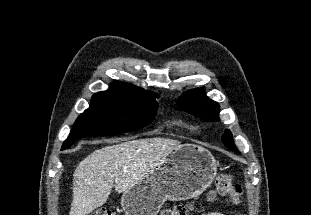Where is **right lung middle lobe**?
<instances>
[{
	"label": "right lung middle lobe",
	"mask_w": 311,
	"mask_h": 215,
	"mask_svg": "<svg viewBox=\"0 0 311 215\" xmlns=\"http://www.w3.org/2000/svg\"><path fill=\"white\" fill-rule=\"evenodd\" d=\"M158 109L156 100L137 101L110 96H93L90 107L75 121L62 150L88 136H106L141 129L149 125Z\"/></svg>",
	"instance_id": "obj_1"
}]
</instances>
